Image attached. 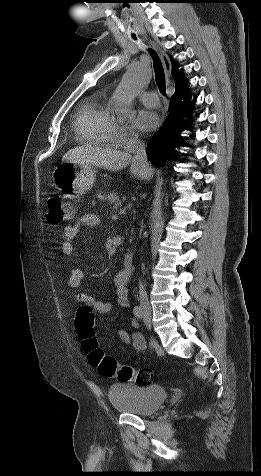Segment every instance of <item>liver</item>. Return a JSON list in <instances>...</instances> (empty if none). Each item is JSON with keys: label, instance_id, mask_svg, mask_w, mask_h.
I'll return each instance as SVG.
<instances>
[{"label": "liver", "instance_id": "1", "mask_svg": "<svg viewBox=\"0 0 261 476\" xmlns=\"http://www.w3.org/2000/svg\"><path fill=\"white\" fill-rule=\"evenodd\" d=\"M62 162L80 165H91L110 171H119L130 165V175L140 180H150L154 170L147 163L136 160L127 151H119L109 147L85 145L69 150Z\"/></svg>", "mask_w": 261, "mask_h": 476}]
</instances>
